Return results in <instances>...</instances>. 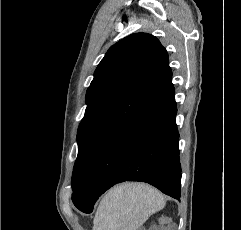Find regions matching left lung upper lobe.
I'll use <instances>...</instances> for the list:
<instances>
[{"mask_svg":"<svg viewBox=\"0 0 241 230\" xmlns=\"http://www.w3.org/2000/svg\"><path fill=\"white\" fill-rule=\"evenodd\" d=\"M168 54L147 33L131 34L109 48L86 94L72 175V201L80 202L88 170L102 147L171 80Z\"/></svg>","mask_w":241,"mask_h":230,"instance_id":"1","label":"left lung upper lobe"}]
</instances>
